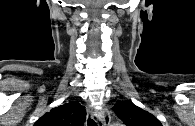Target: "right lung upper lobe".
<instances>
[{"mask_svg":"<svg viewBox=\"0 0 195 126\" xmlns=\"http://www.w3.org/2000/svg\"><path fill=\"white\" fill-rule=\"evenodd\" d=\"M86 117L85 107L69 102L45 113L34 126H82Z\"/></svg>","mask_w":195,"mask_h":126,"instance_id":"right-lung-upper-lobe-1","label":"right lung upper lobe"}]
</instances>
